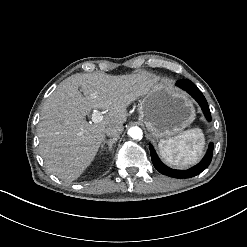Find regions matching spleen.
Instances as JSON below:
<instances>
[{
	"label": "spleen",
	"instance_id": "spleen-1",
	"mask_svg": "<svg viewBox=\"0 0 247 247\" xmlns=\"http://www.w3.org/2000/svg\"><path fill=\"white\" fill-rule=\"evenodd\" d=\"M172 143L179 148L177 155L169 150ZM204 145L205 138L202 130L194 128L184 131L174 139L160 140L158 147L161 157L167 163L176 165L179 168H187L200 160Z\"/></svg>",
	"mask_w": 247,
	"mask_h": 247
}]
</instances>
